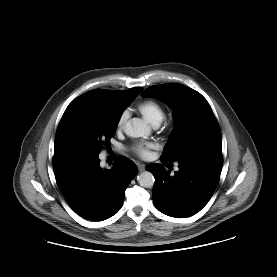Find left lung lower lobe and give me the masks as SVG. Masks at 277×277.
<instances>
[{"mask_svg":"<svg viewBox=\"0 0 277 277\" xmlns=\"http://www.w3.org/2000/svg\"><path fill=\"white\" fill-rule=\"evenodd\" d=\"M178 162L174 176L158 163L147 165L146 170L155 177L152 196L156 208L168 216L184 218L200 211L212 197L223 165L222 150H200Z\"/></svg>","mask_w":277,"mask_h":277,"instance_id":"left-lung-lower-lobe-1","label":"left lung lower lobe"}]
</instances>
